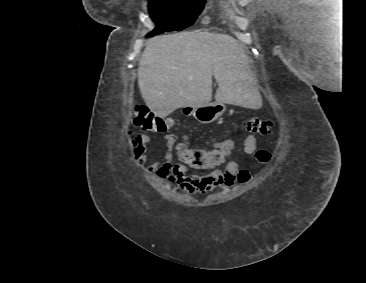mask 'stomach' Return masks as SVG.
I'll list each match as a JSON object with an SVG mask.
<instances>
[{
    "mask_svg": "<svg viewBox=\"0 0 366 283\" xmlns=\"http://www.w3.org/2000/svg\"><path fill=\"white\" fill-rule=\"evenodd\" d=\"M226 105L223 102L215 101L199 106H184L183 113L192 115L198 122L209 124L223 115Z\"/></svg>",
    "mask_w": 366,
    "mask_h": 283,
    "instance_id": "obj_1",
    "label": "stomach"
}]
</instances>
